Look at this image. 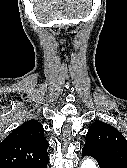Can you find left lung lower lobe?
I'll return each mask as SVG.
<instances>
[{
	"instance_id": "left-lung-lower-lobe-1",
	"label": "left lung lower lobe",
	"mask_w": 127,
	"mask_h": 168,
	"mask_svg": "<svg viewBox=\"0 0 127 168\" xmlns=\"http://www.w3.org/2000/svg\"><path fill=\"white\" fill-rule=\"evenodd\" d=\"M83 155L95 158L100 168H121L110 153L98 146H85L82 148Z\"/></svg>"
}]
</instances>
